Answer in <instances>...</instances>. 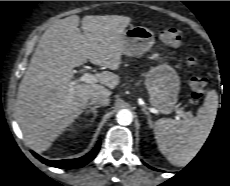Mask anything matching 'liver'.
I'll use <instances>...</instances> for the list:
<instances>
[{
    "mask_svg": "<svg viewBox=\"0 0 230 186\" xmlns=\"http://www.w3.org/2000/svg\"><path fill=\"white\" fill-rule=\"evenodd\" d=\"M130 17L87 15L78 28L77 15L50 25L39 40L18 88L16 115L25 142L37 152L46 151L88 105L94 93L110 96L118 75L96 74L98 84L75 82L73 68L90 61L119 70L124 32Z\"/></svg>",
    "mask_w": 230,
    "mask_h": 186,
    "instance_id": "obj_1",
    "label": "liver"
}]
</instances>
